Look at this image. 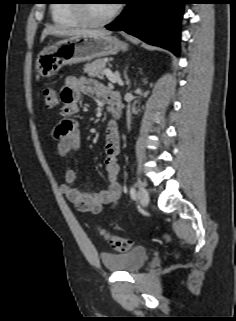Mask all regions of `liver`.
I'll use <instances>...</instances> for the list:
<instances>
[{"label": "liver", "mask_w": 236, "mask_h": 321, "mask_svg": "<svg viewBox=\"0 0 236 321\" xmlns=\"http://www.w3.org/2000/svg\"><path fill=\"white\" fill-rule=\"evenodd\" d=\"M111 31L105 29H71V30H60L58 28L48 26L46 27L41 36V41L45 39L48 35L56 36H72V35H85L89 37H101L110 35Z\"/></svg>", "instance_id": "liver-1"}]
</instances>
